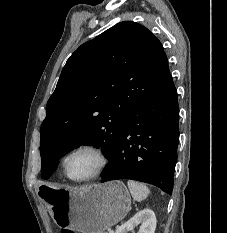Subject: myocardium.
Listing matches in <instances>:
<instances>
[{
    "label": "myocardium",
    "mask_w": 227,
    "mask_h": 233,
    "mask_svg": "<svg viewBox=\"0 0 227 233\" xmlns=\"http://www.w3.org/2000/svg\"><path fill=\"white\" fill-rule=\"evenodd\" d=\"M81 151H89V152H92L93 154H95L98 158V165H97L96 169L90 175H88L84 178L74 179L69 174L68 163H69L70 158L74 154L81 152ZM108 164H109V156L102 146H100L98 144H94V143H86V144H82V145L77 146L76 148L72 149L70 152L67 153V155L65 156V158L63 160V169H64L65 176L70 181H73L76 183H82V182H87V181L93 180V179L97 178L98 176H100L105 171Z\"/></svg>",
    "instance_id": "1"
}]
</instances>
